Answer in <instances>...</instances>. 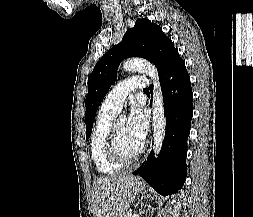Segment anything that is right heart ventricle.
<instances>
[{"label": "right heart ventricle", "instance_id": "1", "mask_svg": "<svg viewBox=\"0 0 253 217\" xmlns=\"http://www.w3.org/2000/svg\"><path fill=\"white\" fill-rule=\"evenodd\" d=\"M115 115V113L100 109L90 140L92 160L98 172L105 175H115L122 169L121 165L109 159L105 149L107 136Z\"/></svg>", "mask_w": 253, "mask_h": 217}]
</instances>
